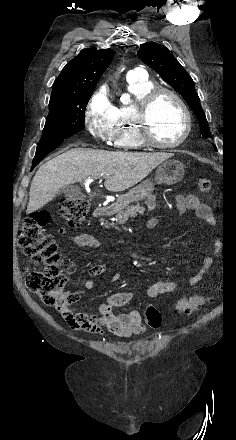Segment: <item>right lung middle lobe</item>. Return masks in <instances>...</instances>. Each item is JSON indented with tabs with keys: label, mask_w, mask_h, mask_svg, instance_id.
<instances>
[{
	"label": "right lung middle lobe",
	"mask_w": 236,
	"mask_h": 440,
	"mask_svg": "<svg viewBox=\"0 0 236 440\" xmlns=\"http://www.w3.org/2000/svg\"><path fill=\"white\" fill-rule=\"evenodd\" d=\"M90 94L77 96L71 100L49 103V114L39 143L64 140L85 125V108Z\"/></svg>",
	"instance_id": "1"
}]
</instances>
